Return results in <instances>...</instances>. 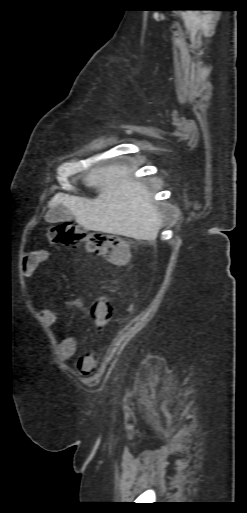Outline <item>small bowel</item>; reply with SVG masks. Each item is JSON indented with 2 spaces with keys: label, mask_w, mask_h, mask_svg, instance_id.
<instances>
[{
  "label": "small bowel",
  "mask_w": 247,
  "mask_h": 513,
  "mask_svg": "<svg viewBox=\"0 0 247 513\" xmlns=\"http://www.w3.org/2000/svg\"><path fill=\"white\" fill-rule=\"evenodd\" d=\"M46 256H47V253L44 251L32 253V254L26 256L24 258V260L22 262V266H21V272H22L23 277L24 278L31 277L35 273V271L37 270L39 265L45 260ZM74 305L76 307L82 309L84 312L88 313L92 319L93 316L90 313V305L89 306L84 305V303L81 299H75ZM40 316H41L42 323L47 328H51L57 321L56 312L48 306L42 307V309L40 311ZM77 347H78V342L75 337H73V336L64 337L58 343V348H57L58 358L61 361L69 360L70 358H72L75 355V353L77 351ZM94 364H95V359L93 357H85V358L80 359V361L77 364V369L81 374L86 375L93 370ZM86 372H88V373H86Z\"/></svg>",
  "instance_id": "small-bowel-1"
}]
</instances>
